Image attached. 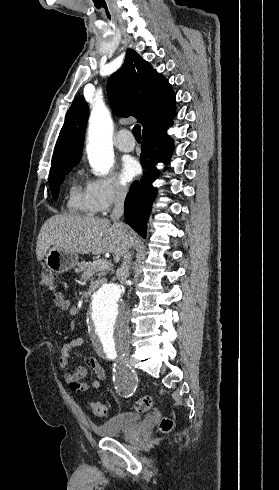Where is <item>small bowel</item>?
Here are the masks:
<instances>
[{
    "mask_svg": "<svg viewBox=\"0 0 279 490\" xmlns=\"http://www.w3.org/2000/svg\"><path fill=\"white\" fill-rule=\"evenodd\" d=\"M52 307L58 309L61 312H66L71 308V302L65 298L62 293H56L52 298ZM83 344V338L78 337L70 342L64 344L61 348L58 363L61 368H67L71 362L70 352L72 349L77 348ZM89 365L93 372L95 373L97 379H93L90 384L81 382L87 375V370L83 366H78L72 372H66L64 374V380L69 384L72 391H86L89 387L99 388L101 381L107 379V373L99 361L95 358H90Z\"/></svg>",
    "mask_w": 279,
    "mask_h": 490,
    "instance_id": "obj_1",
    "label": "small bowel"
}]
</instances>
